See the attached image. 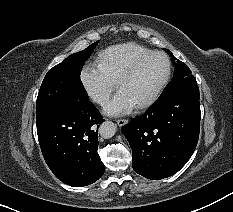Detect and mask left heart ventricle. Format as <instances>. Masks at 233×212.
<instances>
[{
  "instance_id": "1",
  "label": "left heart ventricle",
  "mask_w": 233,
  "mask_h": 212,
  "mask_svg": "<svg viewBox=\"0 0 233 212\" xmlns=\"http://www.w3.org/2000/svg\"><path fill=\"white\" fill-rule=\"evenodd\" d=\"M166 73V62L161 56H151L138 68L119 90L123 91L134 106L145 101L157 88Z\"/></svg>"
}]
</instances>
